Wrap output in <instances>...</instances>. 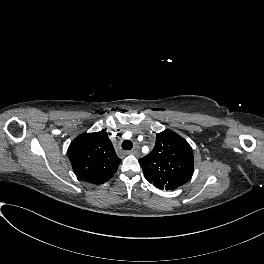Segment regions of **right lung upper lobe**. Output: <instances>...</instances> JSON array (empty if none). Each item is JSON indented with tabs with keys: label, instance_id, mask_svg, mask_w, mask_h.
Instances as JSON below:
<instances>
[{
	"label": "right lung upper lobe",
	"instance_id": "cb5924a9",
	"mask_svg": "<svg viewBox=\"0 0 264 264\" xmlns=\"http://www.w3.org/2000/svg\"><path fill=\"white\" fill-rule=\"evenodd\" d=\"M68 157L76 176L93 184L108 181L121 162L105 130L76 137L68 148Z\"/></svg>",
	"mask_w": 264,
	"mask_h": 264
}]
</instances>
